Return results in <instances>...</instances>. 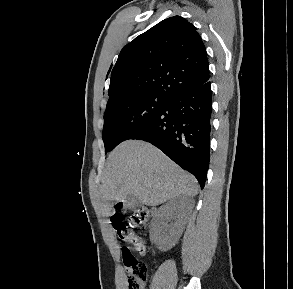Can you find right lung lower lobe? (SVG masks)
Listing matches in <instances>:
<instances>
[{"label":"right lung lower lobe","instance_id":"98d812e1","mask_svg":"<svg viewBox=\"0 0 293 289\" xmlns=\"http://www.w3.org/2000/svg\"><path fill=\"white\" fill-rule=\"evenodd\" d=\"M211 83L183 91L134 131L128 139L150 142L204 187L209 165Z\"/></svg>","mask_w":293,"mask_h":289}]
</instances>
